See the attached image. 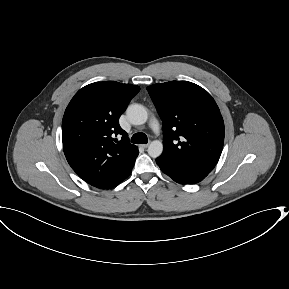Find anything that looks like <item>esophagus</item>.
I'll list each match as a JSON object with an SVG mask.
<instances>
[{
    "label": "esophagus",
    "instance_id": "esophagus-1",
    "mask_svg": "<svg viewBox=\"0 0 289 289\" xmlns=\"http://www.w3.org/2000/svg\"><path fill=\"white\" fill-rule=\"evenodd\" d=\"M144 149H146L148 146H149V144H143V145H141Z\"/></svg>",
    "mask_w": 289,
    "mask_h": 289
}]
</instances>
